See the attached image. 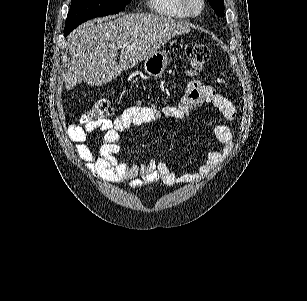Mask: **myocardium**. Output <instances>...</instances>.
Listing matches in <instances>:
<instances>
[{"label":"myocardium","instance_id":"1","mask_svg":"<svg viewBox=\"0 0 307 301\" xmlns=\"http://www.w3.org/2000/svg\"><path fill=\"white\" fill-rule=\"evenodd\" d=\"M180 5L183 8L182 14L185 16H200L203 7L206 5L204 0H182Z\"/></svg>","mask_w":307,"mask_h":301}]
</instances>
